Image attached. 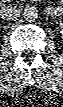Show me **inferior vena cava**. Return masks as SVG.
<instances>
[{
	"label": "inferior vena cava",
	"mask_w": 63,
	"mask_h": 107,
	"mask_svg": "<svg viewBox=\"0 0 63 107\" xmlns=\"http://www.w3.org/2000/svg\"><path fill=\"white\" fill-rule=\"evenodd\" d=\"M17 13H18L17 7L11 4L7 6H3L0 9V16L4 20L13 19L14 17L17 16Z\"/></svg>",
	"instance_id": "obj_1"
}]
</instances>
